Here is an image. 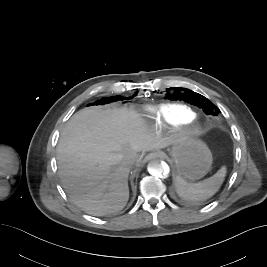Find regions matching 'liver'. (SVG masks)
<instances>
[{
    "instance_id": "liver-1",
    "label": "liver",
    "mask_w": 267,
    "mask_h": 267,
    "mask_svg": "<svg viewBox=\"0 0 267 267\" xmlns=\"http://www.w3.org/2000/svg\"><path fill=\"white\" fill-rule=\"evenodd\" d=\"M161 138L132 109L84 108L67 122L57 145L58 174L70 199L85 212L103 216L129 199L127 155L173 144Z\"/></svg>"
}]
</instances>
